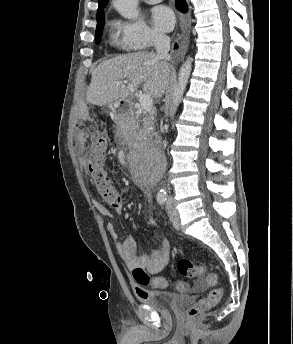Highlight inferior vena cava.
<instances>
[{"label":"inferior vena cava","instance_id":"inferior-vena-cava-1","mask_svg":"<svg viewBox=\"0 0 293 344\" xmlns=\"http://www.w3.org/2000/svg\"><path fill=\"white\" fill-rule=\"evenodd\" d=\"M154 45L157 52V57L164 61L171 59L170 51V38L160 32H156L153 36Z\"/></svg>","mask_w":293,"mask_h":344}]
</instances>
